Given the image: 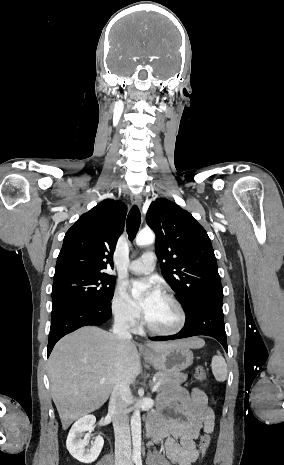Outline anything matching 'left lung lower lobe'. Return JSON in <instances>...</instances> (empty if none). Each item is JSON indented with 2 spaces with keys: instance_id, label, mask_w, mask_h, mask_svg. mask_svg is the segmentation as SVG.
Segmentation results:
<instances>
[{
  "instance_id": "0a47b994",
  "label": "left lung lower lobe",
  "mask_w": 284,
  "mask_h": 465,
  "mask_svg": "<svg viewBox=\"0 0 284 465\" xmlns=\"http://www.w3.org/2000/svg\"><path fill=\"white\" fill-rule=\"evenodd\" d=\"M185 311L186 322L179 333L168 337L153 338L152 340L165 341L206 335L217 339L228 352L222 302L200 300L189 305L185 308Z\"/></svg>"
}]
</instances>
